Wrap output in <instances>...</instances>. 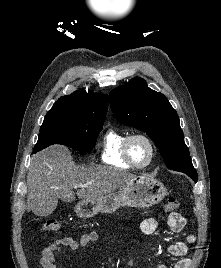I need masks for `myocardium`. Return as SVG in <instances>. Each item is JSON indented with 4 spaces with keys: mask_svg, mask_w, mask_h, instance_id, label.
<instances>
[{
    "mask_svg": "<svg viewBox=\"0 0 221 268\" xmlns=\"http://www.w3.org/2000/svg\"><path fill=\"white\" fill-rule=\"evenodd\" d=\"M135 139H142L144 142H146V144L149 147V151H150L149 158L147 162H145L144 164L135 163L130 155V144ZM123 155H124L125 160L128 162V164L131 167L136 168V169H143L152 163L155 157V145L152 139L148 135L144 133H133V134L128 135L123 142Z\"/></svg>",
    "mask_w": 221,
    "mask_h": 268,
    "instance_id": "f54148a6",
    "label": "myocardium"
}]
</instances>
